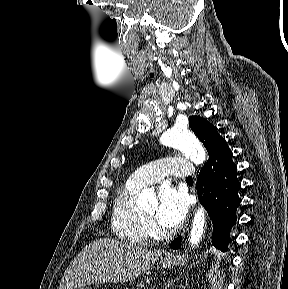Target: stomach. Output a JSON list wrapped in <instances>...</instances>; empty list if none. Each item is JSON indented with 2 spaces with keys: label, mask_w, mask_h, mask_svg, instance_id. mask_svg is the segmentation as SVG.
I'll return each instance as SVG.
<instances>
[{
  "label": "stomach",
  "mask_w": 288,
  "mask_h": 289,
  "mask_svg": "<svg viewBox=\"0 0 288 289\" xmlns=\"http://www.w3.org/2000/svg\"><path fill=\"white\" fill-rule=\"evenodd\" d=\"M171 263L172 262L168 259H161L159 262V266L161 269H165V268L169 267L171 265ZM80 289H91V288L84 286Z\"/></svg>",
  "instance_id": "0dacf381"
}]
</instances>
